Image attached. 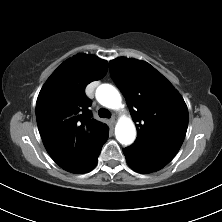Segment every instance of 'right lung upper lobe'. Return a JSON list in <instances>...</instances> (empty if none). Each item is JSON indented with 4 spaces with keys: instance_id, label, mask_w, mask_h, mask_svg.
Here are the masks:
<instances>
[{
    "instance_id": "obj_1",
    "label": "right lung upper lobe",
    "mask_w": 222,
    "mask_h": 222,
    "mask_svg": "<svg viewBox=\"0 0 222 222\" xmlns=\"http://www.w3.org/2000/svg\"><path fill=\"white\" fill-rule=\"evenodd\" d=\"M108 64L93 55L77 54L63 62L42 87L36 119L46 150L63 169L78 173L108 139L109 128L92 119L85 87L103 78Z\"/></svg>"
}]
</instances>
